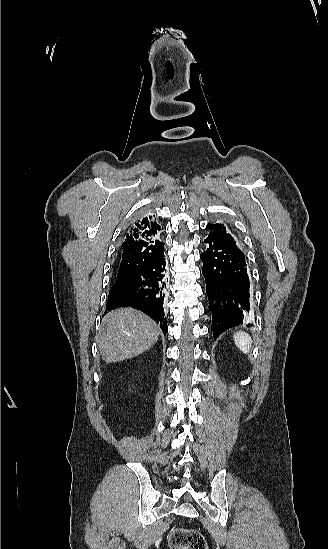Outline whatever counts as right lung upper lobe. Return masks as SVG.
Here are the masks:
<instances>
[{
	"mask_svg": "<svg viewBox=\"0 0 328 549\" xmlns=\"http://www.w3.org/2000/svg\"><path fill=\"white\" fill-rule=\"evenodd\" d=\"M162 227L154 215L133 223L124 235L117 258V279L129 277L163 252Z\"/></svg>",
	"mask_w": 328,
	"mask_h": 549,
	"instance_id": "obj_1",
	"label": "right lung upper lobe"
}]
</instances>
